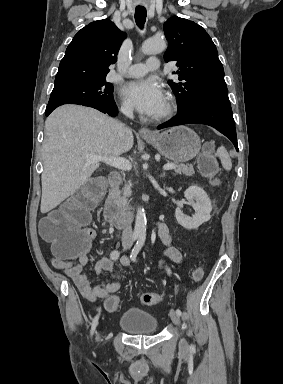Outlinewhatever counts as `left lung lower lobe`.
Here are the masks:
<instances>
[{
	"instance_id": "obj_1",
	"label": "left lung lower lobe",
	"mask_w": 283,
	"mask_h": 384,
	"mask_svg": "<svg viewBox=\"0 0 283 384\" xmlns=\"http://www.w3.org/2000/svg\"><path fill=\"white\" fill-rule=\"evenodd\" d=\"M183 124H206L216 128L227 136L238 151L237 137L232 109L229 101H214L198 104L178 113L157 129Z\"/></svg>"
}]
</instances>
